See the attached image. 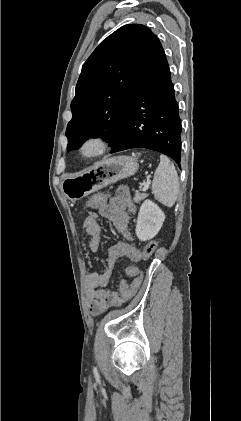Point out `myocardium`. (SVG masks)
<instances>
[{"label": "myocardium", "instance_id": "f54148a6", "mask_svg": "<svg viewBox=\"0 0 241 421\" xmlns=\"http://www.w3.org/2000/svg\"><path fill=\"white\" fill-rule=\"evenodd\" d=\"M109 144V139L105 134L92 133L82 140L79 146V153L83 158L95 159L106 152Z\"/></svg>", "mask_w": 241, "mask_h": 421}]
</instances>
